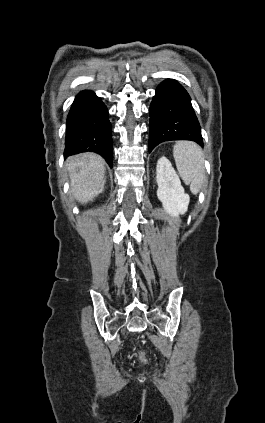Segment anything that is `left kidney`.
I'll return each mask as SVG.
<instances>
[{
    "mask_svg": "<svg viewBox=\"0 0 265 423\" xmlns=\"http://www.w3.org/2000/svg\"><path fill=\"white\" fill-rule=\"evenodd\" d=\"M156 183L157 197L164 210L172 217L184 214L188 209L190 197L185 193L177 173L166 157H161L157 162Z\"/></svg>",
    "mask_w": 265,
    "mask_h": 423,
    "instance_id": "obj_1",
    "label": "left kidney"
}]
</instances>
